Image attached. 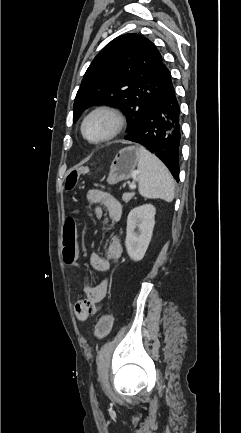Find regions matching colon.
Listing matches in <instances>:
<instances>
[{
	"mask_svg": "<svg viewBox=\"0 0 241 433\" xmlns=\"http://www.w3.org/2000/svg\"><path fill=\"white\" fill-rule=\"evenodd\" d=\"M87 176V168H72L63 178L62 187L64 190H75L76 186L80 185L79 177ZM63 245L64 261L67 264H73L77 258L76 251L79 250V231L77 230V219L72 213H68L64 219ZM113 321V315L109 312L105 313L95 327L94 337L98 340L105 338L113 326Z\"/></svg>",
	"mask_w": 241,
	"mask_h": 433,
	"instance_id": "5ec220e1",
	"label": "colon"
}]
</instances>
